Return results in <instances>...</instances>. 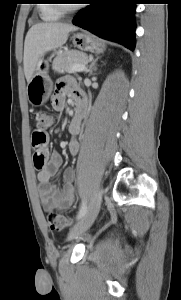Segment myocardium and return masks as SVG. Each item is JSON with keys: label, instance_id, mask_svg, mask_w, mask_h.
Wrapping results in <instances>:
<instances>
[{"label": "myocardium", "instance_id": "myocardium-1", "mask_svg": "<svg viewBox=\"0 0 181 300\" xmlns=\"http://www.w3.org/2000/svg\"><path fill=\"white\" fill-rule=\"evenodd\" d=\"M56 1H59V0H56ZM59 2H62V1H59ZM56 7L62 14L69 13V12L77 9L76 6L68 5V3H57Z\"/></svg>", "mask_w": 181, "mask_h": 300}]
</instances>
